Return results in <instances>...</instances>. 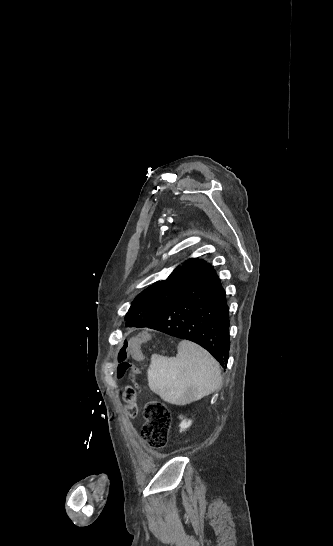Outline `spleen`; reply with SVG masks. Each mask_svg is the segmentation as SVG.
I'll use <instances>...</instances> for the list:
<instances>
[{
  "instance_id": "obj_1",
  "label": "spleen",
  "mask_w": 333,
  "mask_h": 546,
  "mask_svg": "<svg viewBox=\"0 0 333 546\" xmlns=\"http://www.w3.org/2000/svg\"><path fill=\"white\" fill-rule=\"evenodd\" d=\"M147 378L154 393L176 405L208 396L222 384L216 360L200 346L185 340L179 343L176 357L153 354Z\"/></svg>"
}]
</instances>
